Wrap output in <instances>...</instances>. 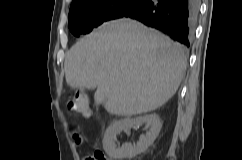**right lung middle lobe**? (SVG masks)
I'll return each mask as SVG.
<instances>
[{
	"mask_svg": "<svg viewBox=\"0 0 242 160\" xmlns=\"http://www.w3.org/2000/svg\"><path fill=\"white\" fill-rule=\"evenodd\" d=\"M143 0H83L69 10V29L75 36L89 33L105 21L121 18Z\"/></svg>",
	"mask_w": 242,
	"mask_h": 160,
	"instance_id": "dd1d6c3e",
	"label": "right lung middle lobe"
}]
</instances>
